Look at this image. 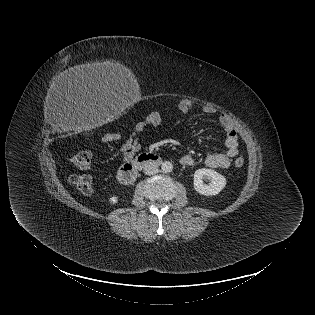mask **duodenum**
<instances>
[{
  "mask_svg": "<svg viewBox=\"0 0 315 315\" xmlns=\"http://www.w3.org/2000/svg\"><path fill=\"white\" fill-rule=\"evenodd\" d=\"M162 159L155 153H142L138 155L133 161L124 163L118 170V181L123 185L132 184L138 171L148 164H160Z\"/></svg>",
  "mask_w": 315,
  "mask_h": 315,
  "instance_id": "duodenum-1",
  "label": "duodenum"
}]
</instances>
